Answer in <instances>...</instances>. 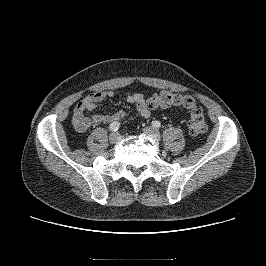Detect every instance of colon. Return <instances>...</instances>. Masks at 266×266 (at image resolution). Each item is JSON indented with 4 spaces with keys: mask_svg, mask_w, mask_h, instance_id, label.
<instances>
[{
    "mask_svg": "<svg viewBox=\"0 0 266 266\" xmlns=\"http://www.w3.org/2000/svg\"><path fill=\"white\" fill-rule=\"evenodd\" d=\"M149 108L182 106L189 111L188 129L192 136L204 134L207 124L202 108L196 103L195 99L188 95L172 92H161L152 95L147 100Z\"/></svg>",
    "mask_w": 266,
    "mask_h": 266,
    "instance_id": "1",
    "label": "colon"
}]
</instances>
